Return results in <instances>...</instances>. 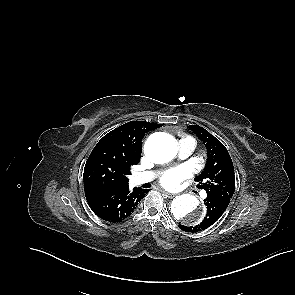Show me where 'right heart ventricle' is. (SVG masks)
Here are the masks:
<instances>
[{"label":"right heart ventricle","instance_id":"1","mask_svg":"<svg viewBox=\"0 0 295 295\" xmlns=\"http://www.w3.org/2000/svg\"><path fill=\"white\" fill-rule=\"evenodd\" d=\"M183 139H189V137H185V138H183ZM192 139V138H191Z\"/></svg>","mask_w":295,"mask_h":295}]
</instances>
